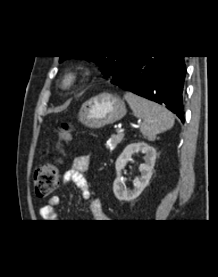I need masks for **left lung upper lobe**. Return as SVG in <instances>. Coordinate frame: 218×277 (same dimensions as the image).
I'll return each mask as SVG.
<instances>
[{
	"instance_id": "obj_1",
	"label": "left lung upper lobe",
	"mask_w": 218,
	"mask_h": 277,
	"mask_svg": "<svg viewBox=\"0 0 218 277\" xmlns=\"http://www.w3.org/2000/svg\"><path fill=\"white\" fill-rule=\"evenodd\" d=\"M133 55L122 56H80L79 58L94 61L98 63L102 68V73L109 79L115 74L120 73L124 67L131 61ZM72 57L60 56V62Z\"/></svg>"
}]
</instances>
